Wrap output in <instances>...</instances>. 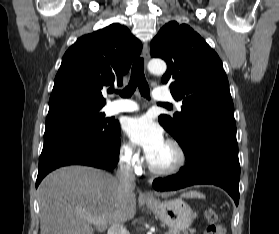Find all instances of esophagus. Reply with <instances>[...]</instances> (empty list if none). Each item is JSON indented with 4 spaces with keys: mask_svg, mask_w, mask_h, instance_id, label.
<instances>
[{
    "mask_svg": "<svg viewBox=\"0 0 279 234\" xmlns=\"http://www.w3.org/2000/svg\"><path fill=\"white\" fill-rule=\"evenodd\" d=\"M143 57L145 59V62H148L150 58V53H149V47L147 43H144L143 45ZM144 198H151V194L149 192L143 193Z\"/></svg>",
    "mask_w": 279,
    "mask_h": 234,
    "instance_id": "obj_1",
    "label": "esophagus"
}]
</instances>
